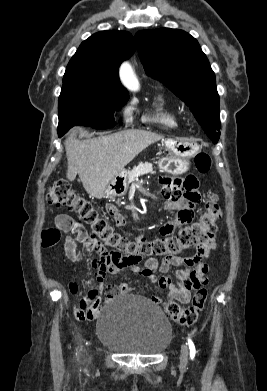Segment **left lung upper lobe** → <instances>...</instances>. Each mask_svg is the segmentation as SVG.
Here are the masks:
<instances>
[{"instance_id": "1", "label": "left lung upper lobe", "mask_w": 267, "mask_h": 391, "mask_svg": "<svg viewBox=\"0 0 267 391\" xmlns=\"http://www.w3.org/2000/svg\"><path fill=\"white\" fill-rule=\"evenodd\" d=\"M135 40L147 75L184 101L216 143L220 137L219 95L215 74L197 40L170 28L140 31Z\"/></svg>"}]
</instances>
